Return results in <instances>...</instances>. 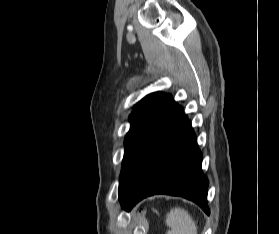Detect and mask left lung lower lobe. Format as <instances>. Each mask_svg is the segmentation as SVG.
<instances>
[{
    "mask_svg": "<svg viewBox=\"0 0 279 234\" xmlns=\"http://www.w3.org/2000/svg\"><path fill=\"white\" fill-rule=\"evenodd\" d=\"M201 162L191 124L167 94L135 155L119 197L122 207L128 211L147 196L169 194L192 200L209 214Z\"/></svg>",
    "mask_w": 279,
    "mask_h": 234,
    "instance_id": "1",
    "label": "left lung lower lobe"
}]
</instances>
